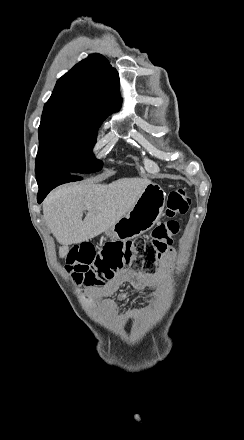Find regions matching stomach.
I'll return each instance as SVG.
<instances>
[{
    "mask_svg": "<svg viewBox=\"0 0 244 440\" xmlns=\"http://www.w3.org/2000/svg\"><path fill=\"white\" fill-rule=\"evenodd\" d=\"M165 198L166 194L158 184L146 186L133 208L105 232L106 238L127 242L151 230L163 214Z\"/></svg>",
    "mask_w": 244,
    "mask_h": 440,
    "instance_id": "0dacf381",
    "label": "stomach"
}]
</instances>
